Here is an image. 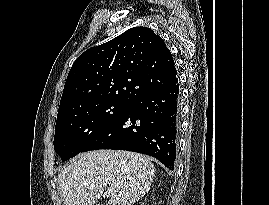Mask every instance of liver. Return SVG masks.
<instances>
[{
    "instance_id": "liver-1",
    "label": "liver",
    "mask_w": 269,
    "mask_h": 205,
    "mask_svg": "<svg viewBox=\"0 0 269 205\" xmlns=\"http://www.w3.org/2000/svg\"><path fill=\"white\" fill-rule=\"evenodd\" d=\"M155 167L149 158L121 150H95L62 168L58 182L64 205H94L111 189L106 205H131L149 190Z\"/></svg>"
}]
</instances>
